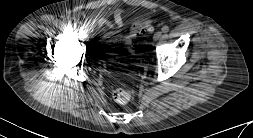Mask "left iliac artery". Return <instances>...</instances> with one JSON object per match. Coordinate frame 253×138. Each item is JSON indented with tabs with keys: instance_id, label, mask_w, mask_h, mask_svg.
Returning <instances> with one entry per match:
<instances>
[{
	"instance_id": "1",
	"label": "left iliac artery",
	"mask_w": 253,
	"mask_h": 138,
	"mask_svg": "<svg viewBox=\"0 0 253 138\" xmlns=\"http://www.w3.org/2000/svg\"><path fill=\"white\" fill-rule=\"evenodd\" d=\"M168 30H169L168 26H163V27H162V32H163V33H167Z\"/></svg>"
}]
</instances>
